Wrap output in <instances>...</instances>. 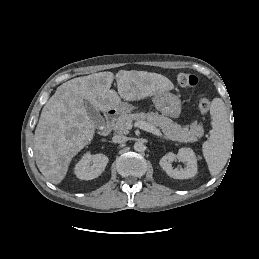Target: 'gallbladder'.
<instances>
[{
  "label": "gallbladder",
  "mask_w": 259,
  "mask_h": 259,
  "mask_svg": "<svg viewBox=\"0 0 259 259\" xmlns=\"http://www.w3.org/2000/svg\"><path fill=\"white\" fill-rule=\"evenodd\" d=\"M84 105L87 110V113L94 121L95 126L102 125L104 123L103 116L98 111H96L95 108L88 101H85Z\"/></svg>",
  "instance_id": "1"
}]
</instances>
